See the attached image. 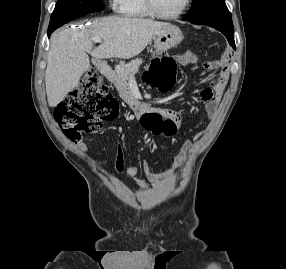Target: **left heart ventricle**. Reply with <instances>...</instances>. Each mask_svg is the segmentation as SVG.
<instances>
[{"label": "left heart ventricle", "instance_id": "obj_1", "mask_svg": "<svg viewBox=\"0 0 286 269\" xmlns=\"http://www.w3.org/2000/svg\"><path fill=\"white\" fill-rule=\"evenodd\" d=\"M185 0H154L157 10L163 14H173L180 10Z\"/></svg>", "mask_w": 286, "mask_h": 269}]
</instances>
